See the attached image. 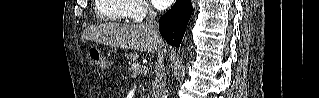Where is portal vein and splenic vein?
I'll list each match as a JSON object with an SVG mask.
<instances>
[{
	"label": "portal vein and splenic vein",
	"instance_id": "18ae733b",
	"mask_svg": "<svg viewBox=\"0 0 319 98\" xmlns=\"http://www.w3.org/2000/svg\"><path fill=\"white\" fill-rule=\"evenodd\" d=\"M131 69H132L134 72H137V71L139 72V65L136 64V63H134V64H132ZM139 73H141V71H140Z\"/></svg>",
	"mask_w": 319,
	"mask_h": 98
}]
</instances>
